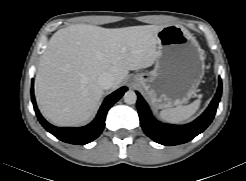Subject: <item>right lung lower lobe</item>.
Masks as SVG:
<instances>
[{
  "instance_id": "1",
  "label": "right lung lower lobe",
  "mask_w": 246,
  "mask_h": 181,
  "mask_svg": "<svg viewBox=\"0 0 246 181\" xmlns=\"http://www.w3.org/2000/svg\"><path fill=\"white\" fill-rule=\"evenodd\" d=\"M126 91H127V88L122 87L118 89L117 91L113 92L108 97H106L94 121L91 122L89 125L80 127V128L55 127L49 124L41 116L36 106V101L34 98L33 80H32V88H31V99H32L34 110L36 112L39 122L48 132H50L52 135H54L56 138H58L61 141L71 143V144L84 145V144H87L93 141L100 135V133L102 132L105 126L104 121H105L108 110L114 103H116L122 97V95Z\"/></svg>"
}]
</instances>
